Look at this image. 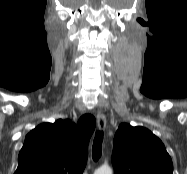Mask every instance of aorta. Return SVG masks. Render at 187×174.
Instances as JSON below:
<instances>
[{"mask_svg": "<svg viewBox=\"0 0 187 174\" xmlns=\"http://www.w3.org/2000/svg\"><path fill=\"white\" fill-rule=\"evenodd\" d=\"M94 174H113L112 169L110 167H100L99 169H97Z\"/></svg>", "mask_w": 187, "mask_h": 174, "instance_id": "aorta-1", "label": "aorta"}]
</instances>
